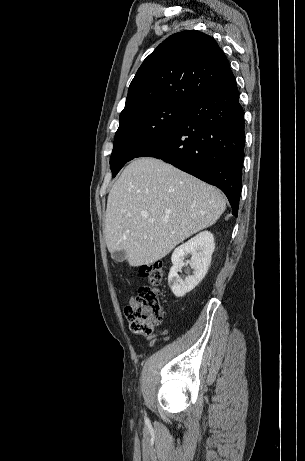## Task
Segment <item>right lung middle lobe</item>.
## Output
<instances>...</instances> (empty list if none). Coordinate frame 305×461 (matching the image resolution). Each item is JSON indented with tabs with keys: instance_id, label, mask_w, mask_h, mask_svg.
Segmentation results:
<instances>
[{
	"instance_id": "1",
	"label": "right lung middle lobe",
	"mask_w": 305,
	"mask_h": 461,
	"mask_svg": "<svg viewBox=\"0 0 305 461\" xmlns=\"http://www.w3.org/2000/svg\"><path fill=\"white\" fill-rule=\"evenodd\" d=\"M189 104L164 102L119 118L110 158L113 177L124 164L173 130L184 118Z\"/></svg>"
}]
</instances>
